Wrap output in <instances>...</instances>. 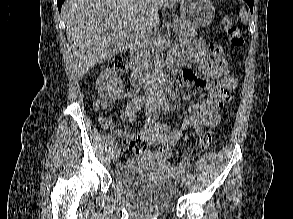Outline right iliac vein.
<instances>
[{
    "label": "right iliac vein",
    "mask_w": 293,
    "mask_h": 219,
    "mask_svg": "<svg viewBox=\"0 0 293 219\" xmlns=\"http://www.w3.org/2000/svg\"><path fill=\"white\" fill-rule=\"evenodd\" d=\"M155 108H156V104L155 103H152V102L148 103L146 105V107H145V114H146V116H151ZM119 157H120V149H116L112 153V160H113V162H117L118 159H119Z\"/></svg>",
    "instance_id": "1"
}]
</instances>
